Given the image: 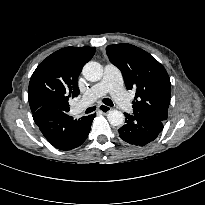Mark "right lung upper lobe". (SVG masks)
I'll return each mask as SVG.
<instances>
[{
  "mask_svg": "<svg viewBox=\"0 0 205 205\" xmlns=\"http://www.w3.org/2000/svg\"><path fill=\"white\" fill-rule=\"evenodd\" d=\"M94 53L95 47H65L43 60L29 83L28 98L32 113L45 105H54L57 97L65 96L67 100L77 97L80 92L78 76ZM63 111H69V107Z\"/></svg>",
  "mask_w": 205,
  "mask_h": 205,
  "instance_id": "obj_1",
  "label": "right lung upper lobe"
}]
</instances>
